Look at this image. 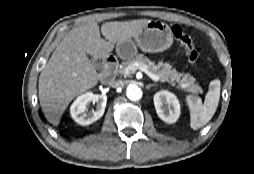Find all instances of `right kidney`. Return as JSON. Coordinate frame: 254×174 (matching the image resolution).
<instances>
[{
  "mask_svg": "<svg viewBox=\"0 0 254 174\" xmlns=\"http://www.w3.org/2000/svg\"><path fill=\"white\" fill-rule=\"evenodd\" d=\"M91 102H96V110L87 112V107ZM107 96L104 94H93L86 92L79 96L71 105L70 113L75 122L82 126L89 125L100 119L105 111Z\"/></svg>",
  "mask_w": 254,
  "mask_h": 174,
  "instance_id": "right-kidney-1",
  "label": "right kidney"
}]
</instances>
